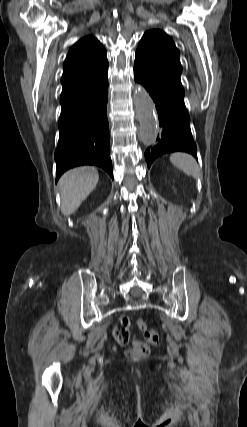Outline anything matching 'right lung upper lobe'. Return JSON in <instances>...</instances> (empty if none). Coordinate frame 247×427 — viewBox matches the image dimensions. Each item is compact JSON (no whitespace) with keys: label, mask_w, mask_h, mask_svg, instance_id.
<instances>
[{"label":"right lung upper lobe","mask_w":247,"mask_h":427,"mask_svg":"<svg viewBox=\"0 0 247 427\" xmlns=\"http://www.w3.org/2000/svg\"><path fill=\"white\" fill-rule=\"evenodd\" d=\"M108 71L103 45L93 36L80 39L69 50L63 65L62 92L91 82Z\"/></svg>","instance_id":"obj_1"}]
</instances>
